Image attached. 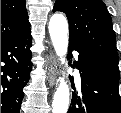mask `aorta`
<instances>
[{
  "label": "aorta",
  "instance_id": "aorta-1",
  "mask_svg": "<svg viewBox=\"0 0 121 113\" xmlns=\"http://www.w3.org/2000/svg\"><path fill=\"white\" fill-rule=\"evenodd\" d=\"M48 28L56 55L64 63L68 48V22L64 15L56 13L50 18ZM59 80L52 102L53 113H66L69 106V87L64 77Z\"/></svg>",
  "mask_w": 121,
  "mask_h": 113
}]
</instances>
